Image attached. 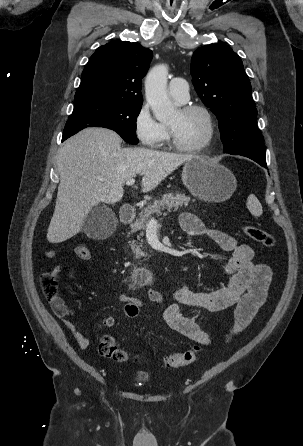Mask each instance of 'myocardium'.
<instances>
[{"label":"myocardium","instance_id":"myocardium-1","mask_svg":"<svg viewBox=\"0 0 303 446\" xmlns=\"http://www.w3.org/2000/svg\"><path fill=\"white\" fill-rule=\"evenodd\" d=\"M180 110L183 113L200 112L206 120L207 134H206V137L203 139V141H201L199 144L194 145V146H185V145L180 144L177 141L172 129L167 125L169 144L172 148H174L175 150H177L179 152L199 153V152L203 151L204 149H206L214 139L215 123H214L213 115H212L211 111L206 106H204L202 104H197V103L183 105L180 108Z\"/></svg>","mask_w":303,"mask_h":446}]
</instances>
